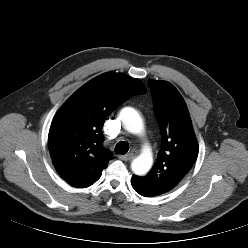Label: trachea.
Returning <instances> with one entry per match:
<instances>
[{"label":"trachea","mask_w":248,"mask_h":248,"mask_svg":"<svg viewBox=\"0 0 248 248\" xmlns=\"http://www.w3.org/2000/svg\"><path fill=\"white\" fill-rule=\"evenodd\" d=\"M129 150V144L126 141H119L115 147V153L124 155Z\"/></svg>","instance_id":"trachea-1"}]
</instances>
